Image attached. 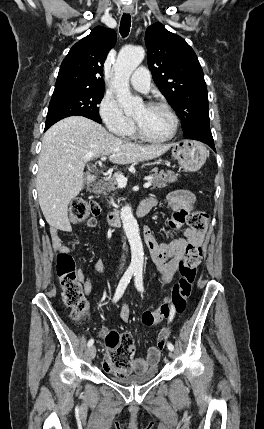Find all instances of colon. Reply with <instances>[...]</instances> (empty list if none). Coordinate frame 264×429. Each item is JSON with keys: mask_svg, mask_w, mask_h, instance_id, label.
Instances as JSON below:
<instances>
[{"mask_svg": "<svg viewBox=\"0 0 264 429\" xmlns=\"http://www.w3.org/2000/svg\"><path fill=\"white\" fill-rule=\"evenodd\" d=\"M100 207L96 202H88L76 198L71 202L69 215L75 223H80L90 215H98ZM208 215L205 212L194 211L188 215L189 226L198 232L206 229ZM202 258L200 246H190L179 263L180 277L172 287L170 302L160 304L154 311H147L142 315V322L146 326H154L166 319L171 311L181 314L185 311L188 298L191 294L192 283L196 278L197 266ZM57 275L62 288V297L65 304L71 309L72 319L80 323L88 312V302L78 280V272L73 257L68 252H60L57 257ZM166 335L160 333L157 346L163 349ZM108 349L106 357L107 372L124 377L131 373V364L134 358V342L128 333L109 332L105 336Z\"/></svg>", "mask_w": 264, "mask_h": 429, "instance_id": "obj_1", "label": "colon"}]
</instances>
